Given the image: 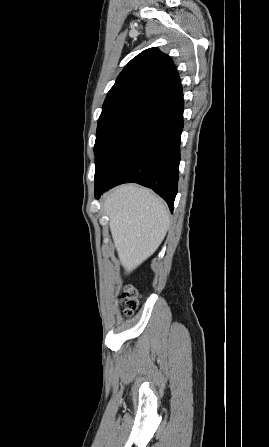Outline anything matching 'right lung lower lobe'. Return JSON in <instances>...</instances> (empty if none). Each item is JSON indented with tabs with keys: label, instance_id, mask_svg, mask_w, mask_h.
Segmentation results:
<instances>
[{
	"label": "right lung lower lobe",
	"instance_id": "obj_1",
	"mask_svg": "<svg viewBox=\"0 0 269 447\" xmlns=\"http://www.w3.org/2000/svg\"><path fill=\"white\" fill-rule=\"evenodd\" d=\"M183 109L179 82L124 118L95 159L96 198L116 185L135 182L154 190L173 211Z\"/></svg>",
	"mask_w": 269,
	"mask_h": 447
}]
</instances>
